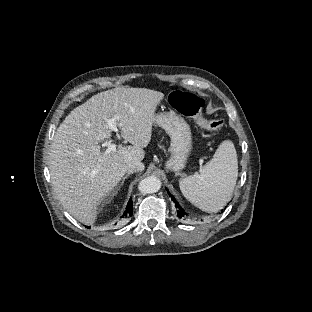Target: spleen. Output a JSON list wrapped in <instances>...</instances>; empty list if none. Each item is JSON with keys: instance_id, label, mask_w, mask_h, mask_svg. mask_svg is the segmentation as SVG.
Masks as SVG:
<instances>
[{"instance_id": "spleen-1", "label": "spleen", "mask_w": 312, "mask_h": 312, "mask_svg": "<svg viewBox=\"0 0 312 312\" xmlns=\"http://www.w3.org/2000/svg\"><path fill=\"white\" fill-rule=\"evenodd\" d=\"M237 156L230 141L222 142L210 162L189 177L182 176L179 189L196 208L211 212L231 198L237 179Z\"/></svg>"}]
</instances>
